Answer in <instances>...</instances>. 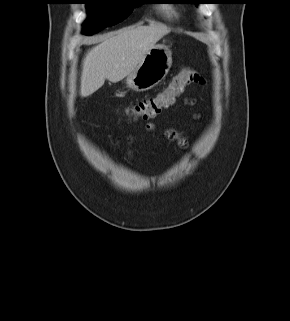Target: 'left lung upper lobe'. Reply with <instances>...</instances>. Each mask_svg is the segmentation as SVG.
<instances>
[{"label":"left lung upper lobe","mask_w":290,"mask_h":321,"mask_svg":"<svg viewBox=\"0 0 290 321\" xmlns=\"http://www.w3.org/2000/svg\"><path fill=\"white\" fill-rule=\"evenodd\" d=\"M200 2H201L200 0H196L194 2H189V3L199 4Z\"/></svg>","instance_id":"obj_1"}]
</instances>
